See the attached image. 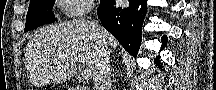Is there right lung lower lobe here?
<instances>
[{
    "instance_id": "1",
    "label": "right lung lower lobe",
    "mask_w": 216,
    "mask_h": 90,
    "mask_svg": "<svg viewBox=\"0 0 216 90\" xmlns=\"http://www.w3.org/2000/svg\"><path fill=\"white\" fill-rule=\"evenodd\" d=\"M147 1H129L128 7H119L115 1H101L98 7V17L102 25L119 41L125 50L136 57L141 45L142 23L146 14ZM163 49L167 36L162 39ZM156 65L162 67L159 56Z\"/></svg>"
}]
</instances>
